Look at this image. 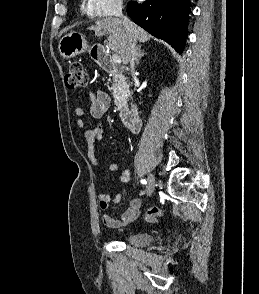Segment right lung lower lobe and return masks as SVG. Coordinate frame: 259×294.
Listing matches in <instances>:
<instances>
[{"label":"right lung lower lobe","instance_id":"obj_1","mask_svg":"<svg viewBox=\"0 0 259 294\" xmlns=\"http://www.w3.org/2000/svg\"><path fill=\"white\" fill-rule=\"evenodd\" d=\"M189 13L190 0H145L127 4V14L136 24L168 42L178 53L184 49Z\"/></svg>","mask_w":259,"mask_h":294}]
</instances>
